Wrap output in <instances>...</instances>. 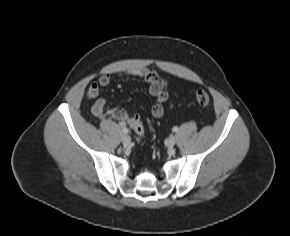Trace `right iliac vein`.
<instances>
[{
    "instance_id": "obj_1",
    "label": "right iliac vein",
    "mask_w": 290,
    "mask_h": 236,
    "mask_svg": "<svg viewBox=\"0 0 290 236\" xmlns=\"http://www.w3.org/2000/svg\"><path fill=\"white\" fill-rule=\"evenodd\" d=\"M121 141L124 145H129L131 142L130 136L128 134H123L121 137Z\"/></svg>"
}]
</instances>
